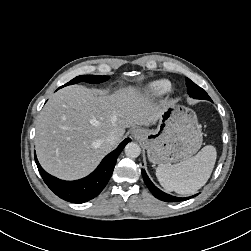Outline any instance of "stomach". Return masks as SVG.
<instances>
[{"mask_svg":"<svg viewBox=\"0 0 251 251\" xmlns=\"http://www.w3.org/2000/svg\"><path fill=\"white\" fill-rule=\"evenodd\" d=\"M147 155L153 164H171L193 156L203 137L195 113L175 102L163 109L156 129H141Z\"/></svg>","mask_w":251,"mask_h":251,"instance_id":"stomach-1","label":"stomach"}]
</instances>
